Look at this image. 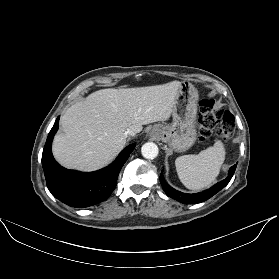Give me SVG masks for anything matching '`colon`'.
<instances>
[{
    "instance_id": "5ec220e1",
    "label": "colon",
    "mask_w": 279,
    "mask_h": 279,
    "mask_svg": "<svg viewBox=\"0 0 279 279\" xmlns=\"http://www.w3.org/2000/svg\"><path fill=\"white\" fill-rule=\"evenodd\" d=\"M200 140L205 141L218 136L229 139L234 132V118L231 113L218 108L213 99H203L197 119Z\"/></svg>"
}]
</instances>
